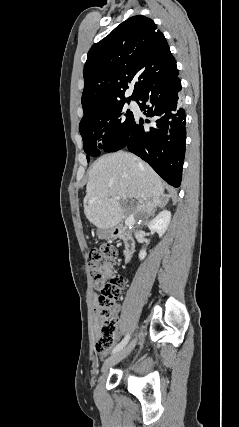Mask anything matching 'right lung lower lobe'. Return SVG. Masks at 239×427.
Segmentation results:
<instances>
[{
	"mask_svg": "<svg viewBox=\"0 0 239 427\" xmlns=\"http://www.w3.org/2000/svg\"><path fill=\"white\" fill-rule=\"evenodd\" d=\"M177 76L175 73L139 94L137 103L150 119L135 117L121 147L148 162L173 187H179L182 180L186 143V116Z\"/></svg>",
	"mask_w": 239,
	"mask_h": 427,
	"instance_id": "1",
	"label": "right lung lower lobe"
}]
</instances>
